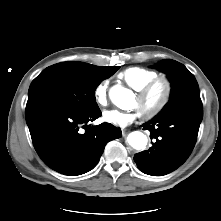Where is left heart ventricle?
Segmentation results:
<instances>
[{
	"mask_svg": "<svg viewBox=\"0 0 221 221\" xmlns=\"http://www.w3.org/2000/svg\"><path fill=\"white\" fill-rule=\"evenodd\" d=\"M164 93L163 84L157 85L144 100H139L135 97L133 106L142 112L153 109L162 99Z\"/></svg>",
	"mask_w": 221,
	"mask_h": 221,
	"instance_id": "1",
	"label": "left heart ventricle"
}]
</instances>
